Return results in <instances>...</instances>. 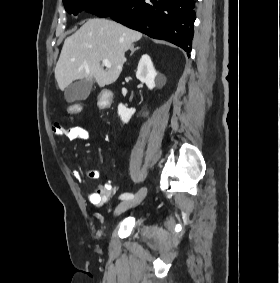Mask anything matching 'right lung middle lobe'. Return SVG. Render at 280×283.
<instances>
[{"instance_id": "right-lung-middle-lobe-1", "label": "right lung middle lobe", "mask_w": 280, "mask_h": 283, "mask_svg": "<svg viewBox=\"0 0 280 283\" xmlns=\"http://www.w3.org/2000/svg\"><path fill=\"white\" fill-rule=\"evenodd\" d=\"M130 0H63L64 7L69 13L77 15V12L86 11L96 13L100 17H107L119 11Z\"/></svg>"}]
</instances>
